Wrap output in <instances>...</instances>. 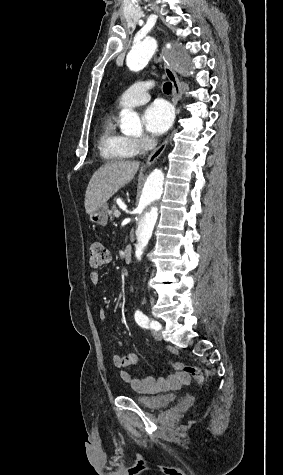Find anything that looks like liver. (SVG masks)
<instances>
[{"instance_id":"liver-1","label":"liver","mask_w":283,"mask_h":475,"mask_svg":"<svg viewBox=\"0 0 283 475\" xmlns=\"http://www.w3.org/2000/svg\"><path fill=\"white\" fill-rule=\"evenodd\" d=\"M140 162H107L93 174L85 194L86 214L96 212L120 188L129 184L138 172Z\"/></svg>"}]
</instances>
